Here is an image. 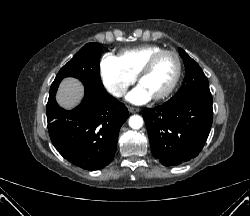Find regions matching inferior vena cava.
Wrapping results in <instances>:
<instances>
[{"label": "inferior vena cava", "instance_id": "602c4592", "mask_svg": "<svg viewBox=\"0 0 250 216\" xmlns=\"http://www.w3.org/2000/svg\"><path fill=\"white\" fill-rule=\"evenodd\" d=\"M110 92L116 96V97H120L123 96L126 92V89L124 88H119V87H113L111 88Z\"/></svg>", "mask_w": 250, "mask_h": 216}]
</instances>
